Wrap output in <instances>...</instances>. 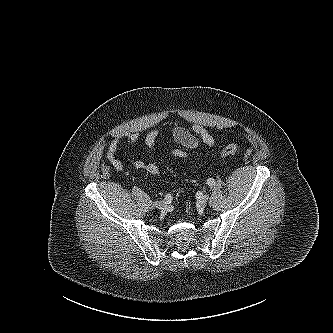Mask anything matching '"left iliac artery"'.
<instances>
[{
  "mask_svg": "<svg viewBox=\"0 0 333 333\" xmlns=\"http://www.w3.org/2000/svg\"><path fill=\"white\" fill-rule=\"evenodd\" d=\"M207 184L211 187V186H214L215 185V180L213 178H209L207 180Z\"/></svg>",
  "mask_w": 333,
  "mask_h": 333,
  "instance_id": "1",
  "label": "left iliac artery"
}]
</instances>
